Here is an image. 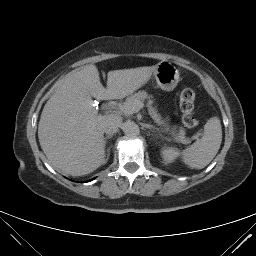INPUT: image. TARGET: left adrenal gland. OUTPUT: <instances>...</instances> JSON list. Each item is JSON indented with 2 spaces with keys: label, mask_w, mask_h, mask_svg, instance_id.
I'll return each instance as SVG.
<instances>
[{
  "label": "left adrenal gland",
  "mask_w": 256,
  "mask_h": 256,
  "mask_svg": "<svg viewBox=\"0 0 256 256\" xmlns=\"http://www.w3.org/2000/svg\"><path fill=\"white\" fill-rule=\"evenodd\" d=\"M143 127L148 128V129H153V130L156 129L157 131H159V129H158V128H155L153 125L144 124Z\"/></svg>",
  "instance_id": "1"
}]
</instances>
